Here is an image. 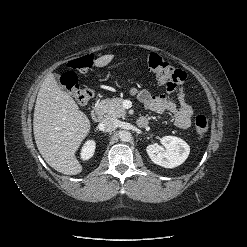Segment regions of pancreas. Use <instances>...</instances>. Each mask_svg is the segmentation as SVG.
<instances>
[{
  "instance_id": "pancreas-1",
  "label": "pancreas",
  "mask_w": 247,
  "mask_h": 247,
  "mask_svg": "<svg viewBox=\"0 0 247 247\" xmlns=\"http://www.w3.org/2000/svg\"><path fill=\"white\" fill-rule=\"evenodd\" d=\"M122 98L104 99L99 103V108L102 109L107 116L115 118H124L126 109L122 105Z\"/></svg>"
}]
</instances>
